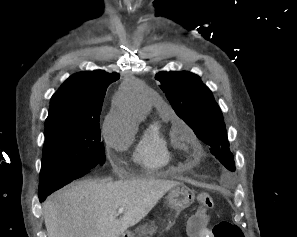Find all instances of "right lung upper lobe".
Returning a JSON list of instances; mask_svg holds the SVG:
<instances>
[{
    "mask_svg": "<svg viewBox=\"0 0 297 237\" xmlns=\"http://www.w3.org/2000/svg\"><path fill=\"white\" fill-rule=\"evenodd\" d=\"M118 79V73L103 70L70 76L51 97L45 126L61 121L98 122L107 87Z\"/></svg>",
    "mask_w": 297,
    "mask_h": 237,
    "instance_id": "obj_1",
    "label": "right lung upper lobe"
}]
</instances>
